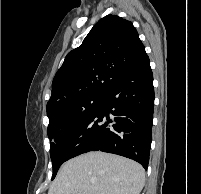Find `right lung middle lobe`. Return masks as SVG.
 <instances>
[{
    "label": "right lung middle lobe",
    "mask_w": 201,
    "mask_h": 194,
    "mask_svg": "<svg viewBox=\"0 0 201 194\" xmlns=\"http://www.w3.org/2000/svg\"><path fill=\"white\" fill-rule=\"evenodd\" d=\"M103 100V95L91 96L75 101L62 107L56 113L48 115V137L50 142V156L53 164L52 179L60 167V162L56 156L62 141L80 123L92 115Z\"/></svg>",
    "instance_id": "dd1d6c3e"
}]
</instances>
